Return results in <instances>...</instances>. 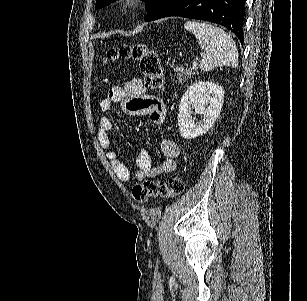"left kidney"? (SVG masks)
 Here are the masks:
<instances>
[{"label":"left kidney","instance_id":"left-kidney-1","mask_svg":"<svg viewBox=\"0 0 307 301\" xmlns=\"http://www.w3.org/2000/svg\"><path fill=\"white\" fill-rule=\"evenodd\" d=\"M223 100L224 88L215 82L199 80L190 84L179 104L178 126L181 136L196 138L205 134L217 120ZM192 114H200L202 120L195 122L196 118Z\"/></svg>","mask_w":307,"mask_h":301}]
</instances>
